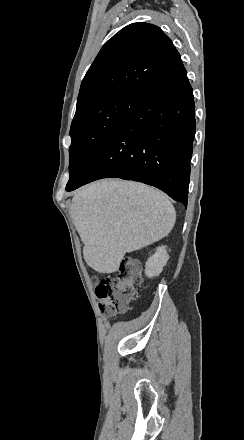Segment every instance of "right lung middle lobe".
Returning <instances> with one entry per match:
<instances>
[{
	"label": "right lung middle lobe",
	"instance_id": "1",
	"mask_svg": "<svg viewBox=\"0 0 244 440\" xmlns=\"http://www.w3.org/2000/svg\"><path fill=\"white\" fill-rule=\"evenodd\" d=\"M141 97L117 95L77 105L70 128V187L119 125L133 111Z\"/></svg>",
	"mask_w": 244,
	"mask_h": 440
}]
</instances>
